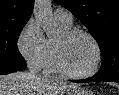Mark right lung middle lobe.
Returning a JSON list of instances; mask_svg holds the SVG:
<instances>
[{"mask_svg":"<svg viewBox=\"0 0 119 95\" xmlns=\"http://www.w3.org/2000/svg\"><path fill=\"white\" fill-rule=\"evenodd\" d=\"M27 22L0 26V63L26 65L17 48V40Z\"/></svg>","mask_w":119,"mask_h":95,"instance_id":"dd1d6c3e","label":"right lung middle lobe"}]
</instances>
